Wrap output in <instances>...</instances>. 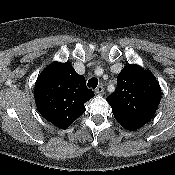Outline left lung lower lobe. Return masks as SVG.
<instances>
[{
	"label": "left lung lower lobe",
	"mask_w": 175,
	"mask_h": 175,
	"mask_svg": "<svg viewBox=\"0 0 175 175\" xmlns=\"http://www.w3.org/2000/svg\"><path fill=\"white\" fill-rule=\"evenodd\" d=\"M125 129L130 130V131H134L136 129H138L139 127H136L134 125L131 124H121Z\"/></svg>",
	"instance_id": "left-lung-lower-lobe-1"
}]
</instances>
